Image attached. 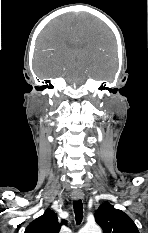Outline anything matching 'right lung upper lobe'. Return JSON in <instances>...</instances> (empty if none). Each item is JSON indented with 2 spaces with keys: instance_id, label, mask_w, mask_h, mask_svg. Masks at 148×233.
Returning <instances> with one entry per match:
<instances>
[{
  "instance_id": "right-lung-upper-lobe-1",
  "label": "right lung upper lobe",
  "mask_w": 148,
  "mask_h": 233,
  "mask_svg": "<svg viewBox=\"0 0 148 233\" xmlns=\"http://www.w3.org/2000/svg\"><path fill=\"white\" fill-rule=\"evenodd\" d=\"M66 223V220L62 221V224ZM60 228L61 224L58 223L56 214L47 209L42 216L27 226L24 233H59Z\"/></svg>"
}]
</instances>
